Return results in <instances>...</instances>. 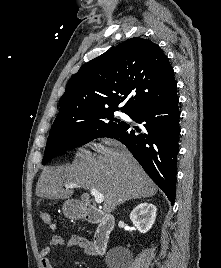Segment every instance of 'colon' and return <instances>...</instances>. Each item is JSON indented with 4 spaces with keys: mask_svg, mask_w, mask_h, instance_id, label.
<instances>
[{
    "mask_svg": "<svg viewBox=\"0 0 221 268\" xmlns=\"http://www.w3.org/2000/svg\"><path fill=\"white\" fill-rule=\"evenodd\" d=\"M39 216H40L41 221L46 226H48L50 229H54L55 228V224L53 222V219H52L51 215L47 211L42 210L40 212Z\"/></svg>",
    "mask_w": 221,
    "mask_h": 268,
    "instance_id": "obj_1",
    "label": "colon"
}]
</instances>
